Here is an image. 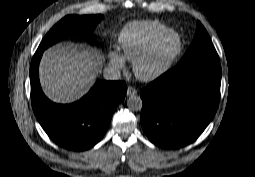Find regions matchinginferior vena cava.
<instances>
[{"instance_id":"1","label":"inferior vena cava","mask_w":255,"mask_h":177,"mask_svg":"<svg viewBox=\"0 0 255 177\" xmlns=\"http://www.w3.org/2000/svg\"><path fill=\"white\" fill-rule=\"evenodd\" d=\"M120 76L119 68L114 65L107 66L103 71V77L106 80H119Z\"/></svg>"}]
</instances>
